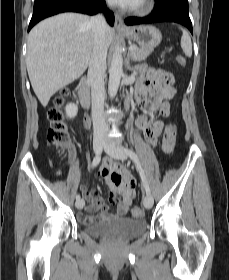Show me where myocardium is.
Returning <instances> with one entry per match:
<instances>
[{"instance_id": "f54148a6", "label": "myocardium", "mask_w": 229, "mask_h": 280, "mask_svg": "<svg viewBox=\"0 0 229 280\" xmlns=\"http://www.w3.org/2000/svg\"><path fill=\"white\" fill-rule=\"evenodd\" d=\"M153 0H141L136 6L129 7V10L138 15H144L153 9Z\"/></svg>"}]
</instances>
